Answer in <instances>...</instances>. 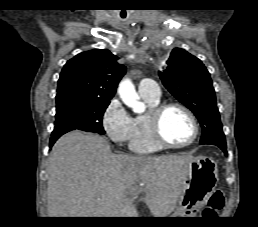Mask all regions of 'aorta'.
<instances>
[{
	"label": "aorta",
	"instance_id": "762f6f07",
	"mask_svg": "<svg viewBox=\"0 0 258 227\" xmlns=\"http://www.w3.org/2000/svg\"><path fill=\"white\" fill-rule=\"evenodd\" d=\"M118 93L123 103L130 107L135 113L144 112L145 106L139 101V96L129 78H124L120 82Z\"/></svg>",
	"mask_w": 258,
	"mask_h": 227
}]
</instances>
